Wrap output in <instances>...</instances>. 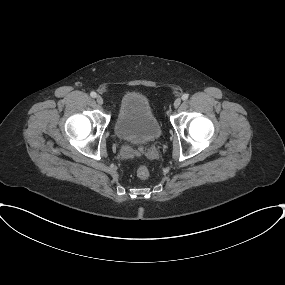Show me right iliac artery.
Listing matches in <instances>:
<instances>
[{
  "label": "right iliac artery",
  "instance_id": "1",
  "mask_svg": "<svg viewBox=\"0 0 285 285\" xmlns=\"http://www.w3.org/2000/svg\"><path fill=\"white\" fill-rule=\"evenodd\" d=\"M90 96L95 98L97 96V94L93 91V92L90 93Z\"/></svg>",
  "mask_w": 285,
  "mask_h": 285
}]
</instances>
